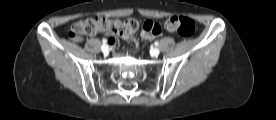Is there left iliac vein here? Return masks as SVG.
I'll use <instances>...</instances> for the list:
<instances>
[{"mask_svg": "<svg viewBox=\"0 0 276 120\" xmlns=\"http://www.w3.org/2000/svg\"><path fill=\"white\" fill-rule=\"evenodd\" d=\"M151 54L155 57H157L160 54V50L158 48H153L151 50Z\"/></svg>", "mask_w": 276, "mask_h": 120, "instance_id": "obj_1", "label": "left iliac vein"}]
</instances>
